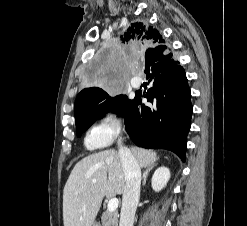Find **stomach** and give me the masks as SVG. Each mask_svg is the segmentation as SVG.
<instances>
[{"mask_svg": "<svg viewBox=\"0 0 247 226\" xmlns=\"http://www.w3.org/2000/svg\"><path fill=\"white\" fill-rule=\"evenodd\" d=\"M92 226H98V224H93Z\"/></svg>", "mask_w": 247, "mask_h": 226, "instance_id": "obj_1", "label": "stomach"}]
</instances>
